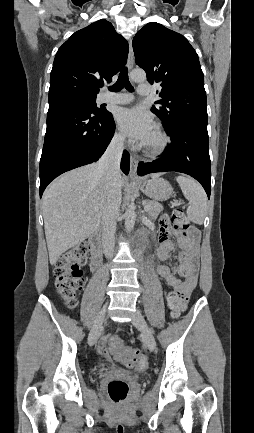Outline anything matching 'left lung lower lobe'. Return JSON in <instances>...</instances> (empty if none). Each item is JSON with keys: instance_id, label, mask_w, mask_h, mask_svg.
I'll list each match as a JSON object with an SVG mask.
<instances>
[{"instance_id": "1", "label": "left lung lower lobe", "mask_w": 254, "mask_h": 433, "mask_svg": "<svg viewBox=\"0 0 254 433\" xmlns=\"http://www.w3.org/2000/svg\"><path fill=\"white\" fill-rule=\"evenodd\" d=\"M166 133L171 137V145L166 147L161 158L149 163L140 162L138 175L164 171L182 172L198 180L209 198L211 167L207 123L187 120L178 123Z\"/></svg>"}]
</instances>
